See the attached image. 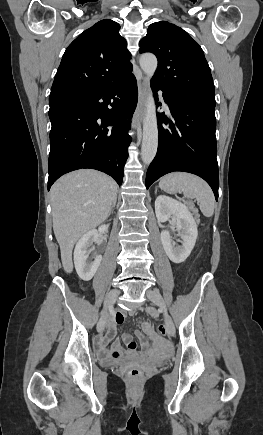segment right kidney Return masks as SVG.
I'll return each instance as SVG.
<instances>
[{
  "label": "right kidney",
  "mask_w": 263,
  "mask_h": 435,
  "mask_svg": "<svg viewBox=\"0 0 263 435\" xmlns=\"http://www.w3.org/2000/svg\"><path fill=\"white\" fill-rule=\"evenodd\" d=\"M108 232L107 225H101L98 230L92 229L85 233L77 242L74 250V264L78 276L84 280L89 281L95 275L97 269L102 260L101 255L93 254L94 261H91L89 255L91 250L89 249L93 242H96L99 236Z\"/></svg>",
  "instance_id": "1"
}]
</instances>
